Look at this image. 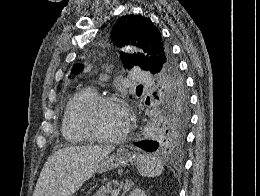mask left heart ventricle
I'll return each mask as SVG.
<instances>
[{
  "label": "left heart ventricle",
  "mask_w": 260,
  "mask_h": 196,
  "mask_svg": "<svg viewBox=\"0 0 260 196\" xmlns=\"http://www.w3.org/2000/svg\"><path fill=\"white\" fill-rule=\"evenodd\" d=\"M84 110H77L78 119ZM127 115L125 109L117 104L105 105L97 110L92 119V126L103 134L116 135L126 125Z\"/></svg>",
  "instance_id": "obj_1"
}]
</instances>
